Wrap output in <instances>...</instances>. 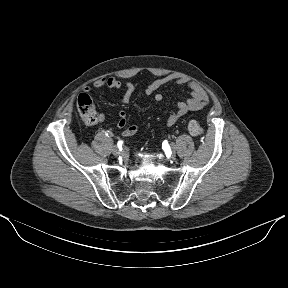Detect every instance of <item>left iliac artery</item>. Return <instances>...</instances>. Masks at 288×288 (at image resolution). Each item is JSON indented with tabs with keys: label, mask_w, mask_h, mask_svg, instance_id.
<instances>
[{
	"label": "left iliac artery",
	"mask_w": 288,
	"mask_h": 288,
	"mask_svg": "<svg viewBox=\"0 0 288 288\" xmlns=\"http://www.w3.org/2000/svg\"><path fill=\"white\" fill-rule=\"evenodd\" d=\"M163 141L165 143H168V144H173L174 143V138L173 137H168V138H165Z\"/></svg>",
	"instance_id": "left-iliac-artery-1"
}]
</instances>
